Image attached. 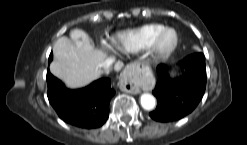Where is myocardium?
I'll return each mask as SVG.
<instances>
[{"instance_id":"1","label":"myocardium","mask_w":247,"mask_h":145,"mask_svg":"<svg viewBox=\"0 0 247 145\" xmlns=\"http://www.w3.org/2000/svg\"><path fill=\"white\" fill-rule=\"evenodd\" d=\"M171 32L173 34V42L168 47L161 46V39L164 34ZM179 44V34L173 27H162L152 38L147 50L153 61H160L170 57Z\"/></svg>"}]
</instances>
